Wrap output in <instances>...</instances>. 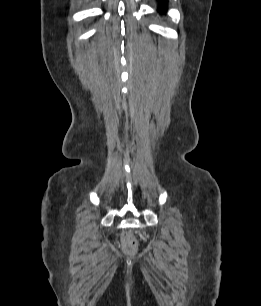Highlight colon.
<instances>
[{
    "label": "colon",
    "instance_id": "5ec220e1",
    "mask_svg": "<svg viewBox=\"0 0 261 306\" xmlns=\"http://www.w3.org/2000/svg\"><path fill=\"white\" fill-rule=\"evenodd\" d=\"M121 243H122L123 249L126 251H133L137 247V242L135 238L128 233H125L122 235Z\"/></svg>",
    "mask_w": 261,
    "mask_h": 306
}]
</instances>
